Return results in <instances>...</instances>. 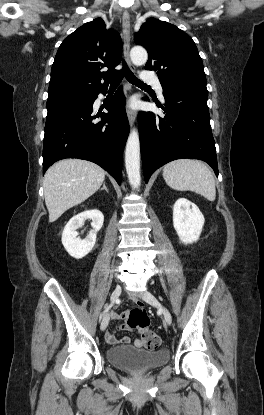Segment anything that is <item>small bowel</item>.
<instances>
[{
  "label": "small bowel",
  "mask_w": 264,
  "mask_h": 415,
  "mask_svg": "<svg viewBox=\"0 0 264 415\" xmlns=\"http://www.w3.org/2000/svg\"><path fill=\"white\" fill-rule=\"evenodd\" d=\"M125 317H126V314L124 312L112 313L111 314V319L112 320H122ZM133 330H134V328H131V327L125 325V324H118L114 327L113 330L106 332L105 340L109 345H112V346H116V345H120V344L128 345V344L131 343L130 338L125 336V337H122V338L119 339L116 336V332H118V331H133ZM134 345L136 347H142L143 346L142 341L140 339H135L134 340Z\"/></svg>",
  "instance_id": "small-bowel-1"
}]
</instances>
